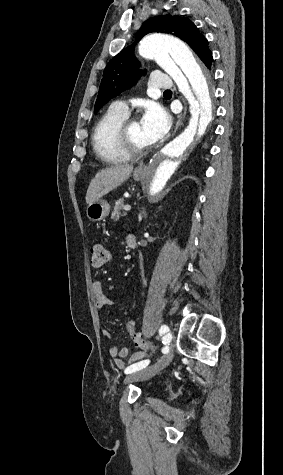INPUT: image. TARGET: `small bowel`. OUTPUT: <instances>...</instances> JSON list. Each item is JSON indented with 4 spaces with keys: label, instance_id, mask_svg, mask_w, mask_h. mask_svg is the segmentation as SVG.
I'll list each match as a JSON object with an SVG mask.
<instances>
[{
    "label": "small bowel",
    "instance_id": "small-bowel-1",
    "mask_svg": "<svg viewBox=\"0 0 283 475\" xmlns=\"http://www.w3.org/2000/svg\"><path fill=\"white\" fill-rule=\"evenodd\" d=\"M129 236L126 238V245L129 246ZM91 290L95 297V303L97 308L101 309L104 306L111 304L112 300L104 291L103 285L99 280H94L91 284ZM104 336L112 341L113 337L112 334L108 330L103 331ZM129 353V349L126 346H119L116 343H113L109 347V354L115 360L116 365L118 367H123V359L127 358V354ZM137 362H129L130 365H133Z\"/></svg>",
    "mask_w": 283,
    "mask_h": 475
}]
</instances>
